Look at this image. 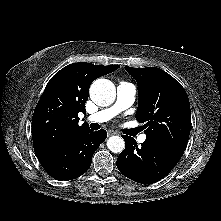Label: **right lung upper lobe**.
Here are the masks:
<instances>
[{
  "label": "right lung upper lobe",
  "instance_id": "right-lung-upper-lobe-1",
  "mask_svg": "<svg viewBox=\"0 0 221 221\" xmlns=\"http://www.w3.org/2000/svg\"><path fill=\"white\" fill-rule=\"evenodd\" d=\"M119 67L72 63L50 79L32 118L33 146L38 159L57 151L89 129L85 124H78V113H86L89 87L95 79Z\"/></svg>",
  "mask_w": 221,
  "mask_h": 221
}]
</instances>
